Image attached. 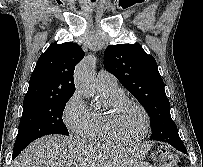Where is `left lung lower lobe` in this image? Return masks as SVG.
Returning <instances> with one entry per match:
<instances>
[{
	"label": "left lung lower lobe",
	"mask_w": 203,
	"mask_h": 167,
	"mask_svg": "<svg viewBox=\"0 0 203 167\" xmlns=\"http://www.w3.org/2000/svg\"><path fill=\"white\" fill-rule=\"evenodd\" d=\"M163 142L169 143L171 146H173L174 148H176L179 151H182L184 153L187 152L186 148H184V146H183V143H182L180 137H178V136L171 135V136L165 138L163 140Z\"/></svg>",
	"instance_id": "0a47b994"
}]
</instances>
